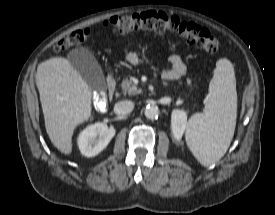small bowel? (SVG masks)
Wrapping results in <instances>:
<instances>
[{"instance_id":"obj_1","label":"small bowel","mask_w":275,"mask_h":215,"mask_svg":"<svg viewBox=\"0 0 275 215\" xmlns=\"http://www.w3.org/2000/svg\"><path fill=\"white\" fill-rule=\"evenodd\" d=\"M118 46L126 61L131 64L138 62L139 58L137 54L129 50V43L121 42L118 44ZM169 62L171 67L166 69L162 74L164 80H176L185 75L186 66L179 55H171L169 57Z\"/></svg>"}]
</instances>
